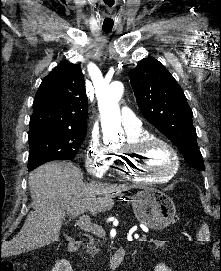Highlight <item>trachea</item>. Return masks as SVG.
<instances>
[{
    "instance_id": "1",
    "label": "trachea",
    "mask_w": 221,
    "mask_h": 271,
    "mask_svg": "<svg viewBox=\"0 0 221 271\" xmlns=\"http://www.w3.org/2000/svg\"><path fill=\"white\" fill-rule=\"evenodd\" d=\"M103 30H104L105 32H110V31L112 30V27H109V28H103Z\"/></svg>"
}]
</instances>
